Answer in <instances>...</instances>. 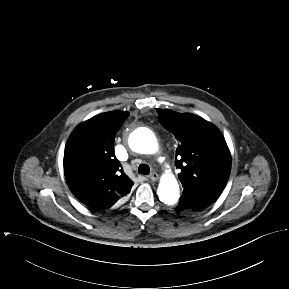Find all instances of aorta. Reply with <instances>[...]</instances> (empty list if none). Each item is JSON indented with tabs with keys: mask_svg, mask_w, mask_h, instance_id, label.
Wrapping results in <instances>:
<instances>
[{
	"mask_svg": "<svg viewBox=\"0 0 289 289\" xmlns=\"http://www.w3.org/2000/svg\"><path fill=\"white\" fill-rule=\"evenodd\" d=\"M130 148L142 154H153L158 150L155 135L148 129L133 132L129 138ZM179 184L173 174L162 176L157 194L159 200L167 205H174L179 199Z\"/></svg>",
	"mask_w": 289,
	"mask_h": 289,
	"instance_id": "aorta-1",
	"label": "aorta"
}]
</instances>
